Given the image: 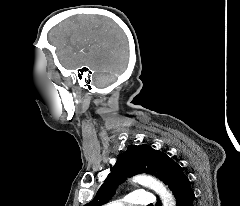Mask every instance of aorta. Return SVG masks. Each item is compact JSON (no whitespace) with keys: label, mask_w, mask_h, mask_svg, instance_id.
<instances>
[{"label":"aorta","mask_w":240,"mask_h":206,"mask_svg":"<svg viewBox=\"0 0 240 206\" xmlns=\"http://www.w3.org/2000/svg\"><path fill=\"white\" fill-rule=\"evenodd\" d=\"M134 181L155 191L160 196L163 206L176 205L174 196L166 189L163 183L154 177L148 175H138L134 178Z\"/></svg>","instance_id":"obj_1"}]
</instances>
